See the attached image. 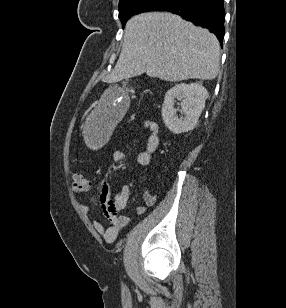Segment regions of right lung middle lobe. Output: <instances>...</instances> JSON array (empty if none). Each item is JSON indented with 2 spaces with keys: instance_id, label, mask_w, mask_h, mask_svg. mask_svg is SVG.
Here are the masks:
<instances>
[{
  "instance_id": "dd1d6c3e",
  "label": "right lung middle lobe",
  "mask_w": 286,
  "mask_h": 308,
  "mask_svg": "<svg viewBox=\"0 0 286 308\" xmlns=\"http://www.w3.org/2000/svg\"><path fill=\"white\" fill-rule=\"evenodd\" d=\"M168 0H122L119 2V18L123 27L127 20L142 12L153 11Z\"/></svg>"
}]
</instances>
